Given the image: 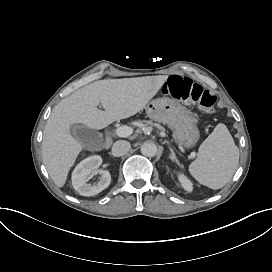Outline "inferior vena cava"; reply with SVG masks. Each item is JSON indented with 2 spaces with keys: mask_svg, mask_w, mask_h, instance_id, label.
Here are the masks:
<instances>
[{
  "mask_svg": "<svg viewBox=\"0 0 272 272\" xmlns=\"http://www.w3.org/2000/svg\"><path fill=\"white\" fill-rule=\"evenodd\" d=\"M129 150L130 143L125 140L116 141L112 146V154L116 157L125 155Z\"/></svg>",
  "mask_w": 272,
  "mask_h": 272,
  "instance_id": "inferior-vena-cava-1",
  "label": "inferior vena cava"
}]
</instances>
